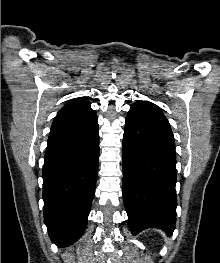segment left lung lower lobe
<instances>
[{
  "label": "left lung lower lobe",
  "instance_id": "obj_1",
  "mask_svg": "<svg viewBox=\"0 0 220 263\" xmlns=\"http://www.w3.org/2000/svg\"><path fill=\"white\" fill-rule=\"evenodd\" d=\"M122 159L123 198L131 232L156 227L171 236L177 206L174 137L126 118Z\"/></svg>",
  "mask_w": 220,
  "mask_h": 263
}]
</instances>
